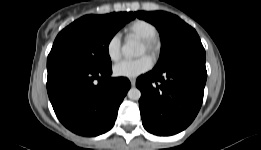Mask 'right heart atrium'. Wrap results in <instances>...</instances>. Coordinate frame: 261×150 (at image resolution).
Instances as JSON below:
<instances>
[{
  "label": "right heart atrium",
  "instance_id": "1",
  "mask_svg": "<svg viewBox=\"0 0 261 150\" xmlns=\"http://www.w3.org/2000/svg\"><path fill=\"white\" fill-rule=\"evenodd\" d=\"M106 53L112 62H116L121 57V39L118 34L112 35L106 43Z\"/></svg>",
  "mask_w": 261,
  "mask_h": 150
}]
</instances>
